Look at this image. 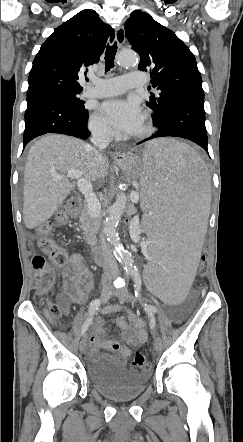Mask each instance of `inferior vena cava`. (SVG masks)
Returning a JSON list of instances; mask_svg holds the SVG:
<instances>
[{
    "instance_id": "1",
    "label": "inferior vena cava",
    "mask_w": 243,
    "mask_h": 442,
    "mask_svg": "<svg viewBox=\"0 0 243 442\" xmlns=\"http://www.w3.org/2000/svg\"><path fill=\"white\" fill-rule=\"evenodd\" d=\"M92 138L91 142L95 146L94 159L97 163H100L102 159V151L107 148L111 142L110 130L102 125H96L91 128ZM96 197V196H95ZM97 199V198H96ZM100 251L103 260L104 275L107 278H115L118 275V266L110 250L108 244L105 241L103 233L99 236Z\"/></svg>"
}]
</instances>
